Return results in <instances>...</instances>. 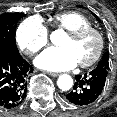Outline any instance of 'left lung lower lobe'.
Masks as SVG:
<instances>
[{
  "instance_id": "1",
  "label": "left lung lower lobe",
  "mask_w": 117,
  "mask_h": 117,
  "mask_svg": "<svg viewBox=\"0 0 117 117\" xmlns=\"http://www.w3.org/2000/svg\"><path fill=\"white\" fill-rule=\"evenodd\" d=\"M109 70L96 67L91 72L76 76V83L66 98L67 100L79 106L89 105L97 100L101 95Z\"/></svg>"
}]
</instances>
